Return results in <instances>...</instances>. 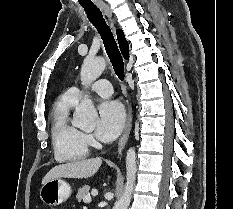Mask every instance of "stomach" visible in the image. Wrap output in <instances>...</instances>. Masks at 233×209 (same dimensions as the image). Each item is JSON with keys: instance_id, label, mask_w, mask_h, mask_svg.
Instances as JSON below:
<instances>
[{"instance_id": "1", "label": "stomach", "mask_w": 233, "mask_h": 209, "mask_svg": "<svg viewBox=\"0 0 233 209\" xmlns=\"http://www.w3.org/2000/svg\"><path fill=\"white\" fill-rule=\"evenodd\" d=\"M71 193L72 189L69 183L61 178H56L42 185L40 198L46 205L58 206L65 202Z\"/></svg>"}]
</instances>
